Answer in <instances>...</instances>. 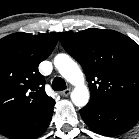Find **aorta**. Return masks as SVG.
Instances as JSON below:
<instances>
[{
  "label": "aorta",
  "instance_id": "obj_1",
  "mask_svg": "<svg viewBox=\"0 0 139 139\" xmlns=\"http://www.w3.org/2000/svg\"><path fill=\"white\" fill-rule=\"evenodd\" d=\"M54 65L63 78L74 86L71 100L77 107H84L89 101V90L84 84V75L75 61L66 54H58Z\"/></svg>",
  "mask_w": 139,
  "mask_h": 139
}]
</instances>
